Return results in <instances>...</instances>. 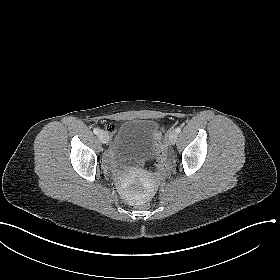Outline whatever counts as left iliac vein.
<instances>
[{
	"label": "left iliac vein",
	"mask_w": 280,
	"mask_h": 280,
	"mask_svg": "<svg viewBox=\"0 0 280 280\" xmlns=\"http://www.w3.org/2000/svg\"><path fill=\"white\" fill-rule=\"evenodd\" d=\"M177 138H178V133H177L176 131H171V132L169 133V138H168V140H169V143H170L171 145H174V144L176 143Z\"/></svg>",
	"instance_id": "obj_1"
}]
</instances>
